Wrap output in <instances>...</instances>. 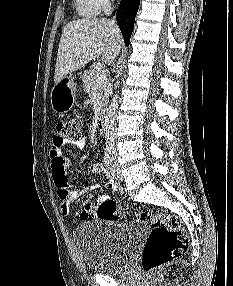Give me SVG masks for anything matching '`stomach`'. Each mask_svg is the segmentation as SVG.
Segmentation results:
<instances>
[{
    "label": "stomach",
    "mask_w": 233,
    "mask_h": 286,
    "mask_svg": "<svg viewBox=\"0 0 233 286\" xmlns=\"http://www.w3.org/2000/svg\"><path fill=\"white\" fill-rule=\"evenodd\" d=\"M76 89L67 78L57 82L51 90L50 102L57 114L66 113L73 105Z\"/></svg>",
    "instance_id": "stomach-1"
}]
</instances>
